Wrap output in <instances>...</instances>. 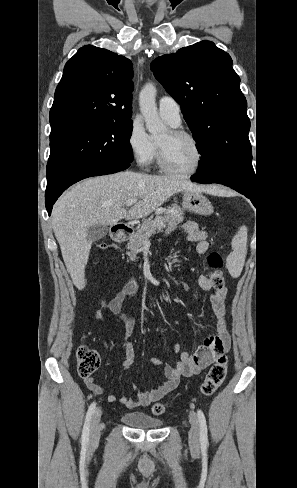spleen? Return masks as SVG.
<instances>
[{"instance_id": "3e777b00", "label": "spleen", "mask_w": 297, "mask_h": 488, "mask_svg": "<svg viewBox=\"0 0 297 488\" xmlns=\"http://www.w3.org/2000/svg\"><path fill=\"white\" fill-rule=\"evenodd\" d=\"M232 252L227 257V268L232 277L238 278L242 272L247 252V229L241 227L232 239Z\"/></svg>"}]
</instances>
